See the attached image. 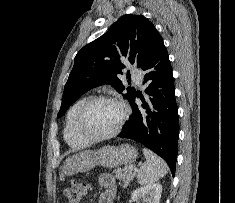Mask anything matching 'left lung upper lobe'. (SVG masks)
Here are the masks:
<instances>
[{
	"label": "left lung upper lobe",
	"instance_id": "5c2ea615",
	"mask_svg": "<svg viewBox=\"0 0 235 203\" xmlns=\"http://www.w3.org/2000/svg\"><path fill=\"white\" fill-rule=\"evenodd\" d=\"M160 39L157 29L144 16L126 14L120 17L108 32L84 46L75 56L58 117L91 88L111 84L122 93L125 87L117 77L125 67L121 60L126 59L142 68ZM135 93L134 88L128 87L127 93L122 95L130 101Z\"/></svg>",
	"mask_w": 235,
	"mask_h": 203
}]
</instances>
